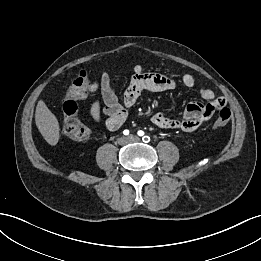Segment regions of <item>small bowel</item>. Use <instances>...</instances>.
<instances>
[{
    "label": "small bowel",
    "instance_id": "obj_1",
    "mask_svg": "<svg viewBox=\"0 0 261 261\" xmlns=\"http://www.w3.org/2000/svg\"><path fill=\"white\" fill-rule=\"evenodd\" d=\"M134 74L126 88L122 103L119 102L112 78L109 73H103L100 82L102 101H94L90 106V115L96 122H100L105 117V124L108 129H118L127 118L128 109L135 104L143 91L162 92L172 90L177 86L174 77L158 73L144 72L142 65L134 66ZM180 82L188 89L196 87L194 77L189 73L180 75ZM87 92H80L78 99L86 96ZM199 94L206 103L198 101L187 105L182 119H172L161 113L152 116L151 121L154 125L165 130H181L192 132L207 122L212 115L226 105L223 97H215L212 89L202 86Z\"/></svg>",
    "mask_w": 261,
    "mask_h": 261
}]
</instances>
